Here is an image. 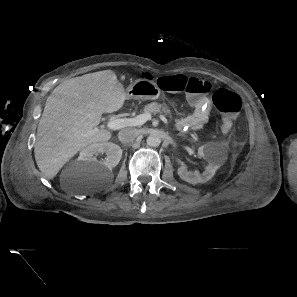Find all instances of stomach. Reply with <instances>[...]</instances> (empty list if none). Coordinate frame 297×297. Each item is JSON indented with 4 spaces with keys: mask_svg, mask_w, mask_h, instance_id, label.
I'll return each mask as SVG.
<instances>
[{
    "mask_svg": "<svg viewBox=\"0 0 297 297\" xmlns=\"http://www.w3.org/2000/svg\"><path fill=\"white\" fill-rule=\"evenodd\" d=\"M160 94L161 90L156 83L149 79H138L126 89L128 99L155 100L159 98Z\"/></svg>",
    "mask_w": 297,
    "mask_h": 297,
    "instance_id": "0dacf381",
    "label": "stomach"
}]
</instances>
